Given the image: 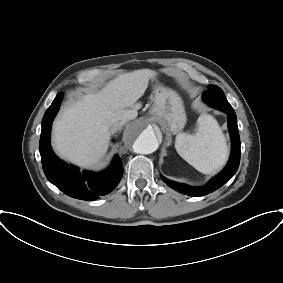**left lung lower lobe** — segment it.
<instances>
[{
	"mask_svg": "<svg viewBox=\"0 0 283 283\" xmlns=\"http://www.w3.org/2000/svg\"><path fill=\"white\" fill-rule=\"evenodd\" d=\"M203 99L210 106L220 111H223L227 114L228 129L231 137L232 150H231V156L229 162L226 165V167L217 176L211 179L208 182V184L205 186L191 187L166 178L163 179L164 182L174 190L193 197L204 196L219 189L221 186L227 183L230 180V178L236 173L240 163V137H239L236 114L234 109L229 104L227 99L225 100L211 99L205 93L203 94Z\"/></svg>",
	"mask_w": 283,
	"mask_h": 283,
	"instance_id": "1",
	"label": "left lung lower lobe"
}]
</instances>
